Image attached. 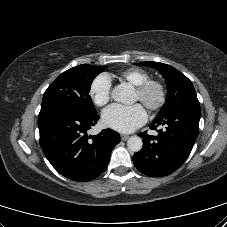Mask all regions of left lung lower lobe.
Returning a JSON list of instances; mask_svg holds the SVG:
<instances>
[{
    "label": "left lung lower lobe",
    "mask_w": 227,
    "mask_h": 227,
    "mask_svg": "<svg viewBox=\"0 0 227 227\" xmlns=\"http://www.w3.org/2000/svg\"><path fill=\"white\" fill-rule=\"evenodd\" d=\"M200 106H187L156 118L150 129L164 126L157 136L141 133L144 146L133 156L138 171L161 177L177 170L188 158L199 132Z\"/></svg>",
    "instance_id": "left-lung-lower-lobe-1"
}]
</instances>
